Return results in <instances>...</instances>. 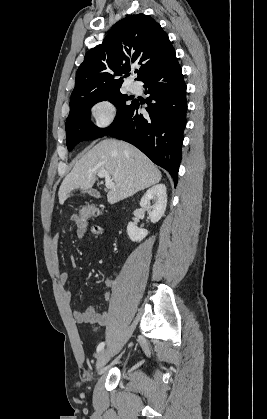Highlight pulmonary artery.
Segmentation results:
<instances>
[{"instance_id":"1","label":"pulmonary artery","mask_w":267,"mask_h":419,"mask_svg":"<svg viewBox=\"0 0 267 419\" xmlns=\"http://www.w3.org/2000/svg\"><path fill=\"white\" fill-rule=\"evenodd\" d=\"M130 90H131L132 92H136V91L138 90V88H137V86H136L135 84H131V85H130Z\"/></svg>"}]
</instances>
